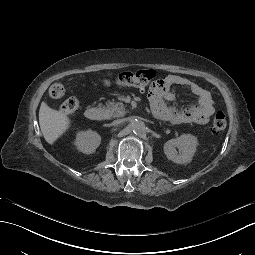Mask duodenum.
<instances>
[{"instance_id": "obj_1", "label": "duodenum", "mask_w": 255, "mask_h": 255, "mask_svg": "<svg viewBox=\"0 0 255 255\" xmlns=\"http://www.w3.org/2000/svg\"><path fill=\"white\" fill-rule=\"evenodd\" d=\"M153 115L162 121H169L170 120V114L169 112L163 108V107H154L152 108ZM86 117L89 120L93 121H101L105 118V112L100 107H89L85 112Z\"/></svg>"}]
</instances>
